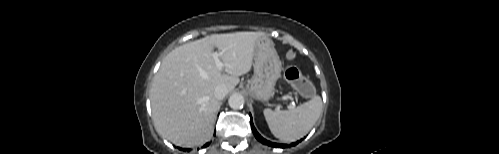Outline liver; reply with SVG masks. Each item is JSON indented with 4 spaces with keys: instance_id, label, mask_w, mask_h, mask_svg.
<instances>
[{
    "instance_id": "1",
    "label": "liver",
    "mask_w": 499,
    "mask_h": 154,
    "mask_svg": "<svg viewBox=\"0 0 499 154\" xmlns=\"http://www.w3.org/2000/svg\"><path fill=\"white\" fill-rule=\"evenodd\" d=\"M263 32L213 34L172 50L162 61L151 87V108L157 131L177 146L193 147L210 141L219 101L215 87L228 92L239 76L251 70L256 42ZM217 48L223 64L213 59Z\"/></svg>"
}]
</instances>
